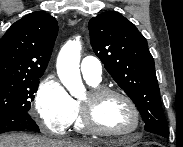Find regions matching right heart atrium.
<instances>
[{"instance_id":"1","label":"right heart atrium","mask_w":183,"mask_h":147,"mask_svg":"<svg viewBox=\"0 0 183 147\" xmlns=\"http://www.w3.org/2000/svg\"><path fill=\"white\" fill-rule=\"evenodd\" d=\"M35 108L40 125L53 133L63 134L75 118L72 97L53 75L40 82L35 94Z\"/></svg>"}]
</instances>
